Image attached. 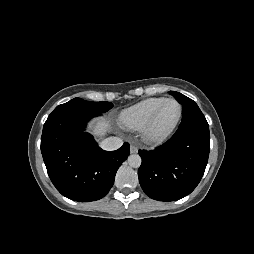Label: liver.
Here are the masks:
<instances>
[{"mask_svg": "<svg viewBox=\"0 0 254 254\" xmlns=\"http://www.w3.org/2000/svg\"><path fill=\"white\" fill-rule=\"evenodd\" d=\"M109 123L107 121L98 120L93 125L94 131H96L95 135L97 137H102L105 135V128L109 129Z\"/></svg>", "mask_w": 254, "mask_h": 254, "instance_id": "obj_1", "label": "liver"}]
</instances>
